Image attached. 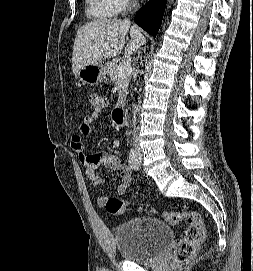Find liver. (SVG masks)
<instances>
[{"instance_id":"6515ba94","label":"liver","mask_w":253,"mask_h":271,"mask_svg":"<svg viewBox=\"0 0 253 271\" xmlns=\"http://www.w3.org/2000/svg\"><path fill=\"white\" fill-rule=\"evenodd\" d=\"M130 31V41L125 47V57H130L146 43L141 30L128 20H101L80 27L73 46L72 70L75 76L88 64L118 55Z\"/></svg>"}]
</instances>
